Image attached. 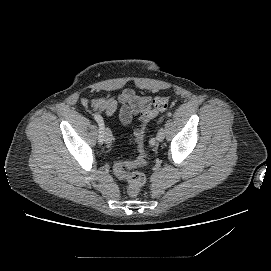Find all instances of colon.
<instances>
[{
  "instance_id": "5ec220e1",
  "label": "colon",
  "mask_w": 271,
  "mask_h": 271,
  "mask_svg": "<svg viewBox=\"0 0 271 271\" xmlns=\"http://www.w3.org/2000/svg\"><path fill=\"white\" fill-rule=\"evenodd\" d=\"M169 103V97L155 98L152 105L140 114V126L135 131L138 157L132 162H117L113 166L115 175L127 182V193L136 197L145 183V176L141 172H129V169L141 167L146 164L147 153L144 147L145 126L148 121L164 111Z\"/></svg>"
}]
</instances>
